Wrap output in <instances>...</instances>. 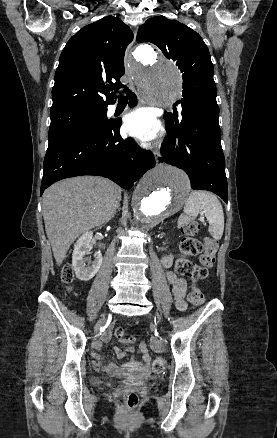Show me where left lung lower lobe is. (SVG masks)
<instances>
[{
	"mask_svg": "<svg viewBox=\"0 0 277 438\" xmlns=\"http://www.w3.org/2000/svg\"><path fill=\"white\" fill-rule=\"evenodd\" d=\"M182 119L174 114L166 123L168 136L161 162L183 169L194 190H209L228 202L225 159L221 147L216 96L181 102Z\"/></svg>",
	"mask_w": 277,
	"mask_h": 438,
	"instance_id": "obj_1",
	"label": "left lung lower lobe"
}]
</instances>
